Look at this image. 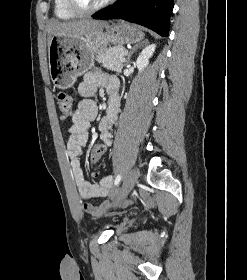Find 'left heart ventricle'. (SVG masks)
Segmentation results:
<instances>
[{
  "instance_id": "obj_1",
  "label": "left heart ventricle",
  "mask_w": 247,
  "mask_h": 280,
  "mask_svg": "<svg viewBox=\"0 0 247 280\" xmlns=\"http://www.w3.org/2000/svg\"><path fill=\"white\" fill-rule=\"evenodd\" d=\"M78 3L83 6V7H94L97 6L98 4L102 3L104 0H77Z\"/></svg>"
}]
</instances>
